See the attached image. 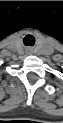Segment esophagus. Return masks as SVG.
I'll use <instances>...</instances> for the list:
<instances>
[{
    "instance_id": "1",
    "label": "esophagus",
    "mask_w": 63,
    "mask_h": 123,
    "mask_svg": "<svg viewBox=\"0 0 63 123\" xmlns=\"http://www.w3.org/2000/svg\"><path fill=\"white\" fill-rule=\"evenodd\" d=\"M27 51H28L29 53H32V52H33V49H32V48H28Z\"/></svg>"
}]
</instances>
